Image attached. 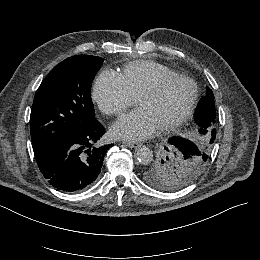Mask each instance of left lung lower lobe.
<instances>
[{"mask_svg": "<svg viewBox=\"0 0 260 260\" xmlns=\"http://www.w3.org/2000/svg\"><path fill=\"white\" fill-rule=\"evenodd\" d=\"M194 120L198 127L204 128L213 125L215 121L214 101H211L208 97H203L196 109ZM214 133L216 134V130ZM169 142L184 154H192L199 151L194 142L183 137L171 138Z\"/></svg>", "mask_w": 260, "mask_h": 260, "instance_id": "1", "label": "left lung lower lobe"}]
</instances>
